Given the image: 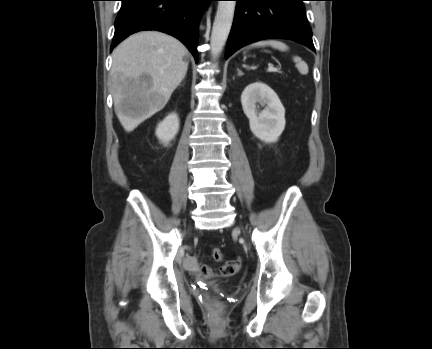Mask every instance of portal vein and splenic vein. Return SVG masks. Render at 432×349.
I'll return each instance as SVG.
<instances>
[{"label": "portal vein and splenic vein", "mask_w": 432, "mask_h": 349, "mask_svg": "<svg viewBox=\"0 0 432 349\" xmlns=\"http://www.w3.org/2000/svg\"><path fill=\"white\" fill-rule=\"evenodd\" d=\"M278 69L276 67H274L273 65H269L268 67V72H277Z\"/></svg>", "instance_id": "1"}]
</instances>
